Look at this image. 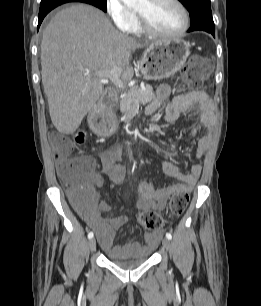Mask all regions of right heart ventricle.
Listing matches in <instances>:
<instances>
[{"instance_id": "right-heart-ventricle-1", "label": "right heart ventricle", "mask_w": 261, "mask_h": 306, "mask_svg": "<svg viewBox=\"0 0 261 306\" xmlns=\"http://www.w3.org/2000/svg\"><path fill=\"white\" fill-rule=\"evenodd\" d=\"M130 33L135 34V35H140L143 33V30L141 29V27L139 26V23L137 21V19L135 18L130 30Z\"/></svg>"}]
</instances>
